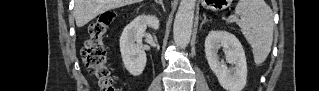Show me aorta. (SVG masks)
<instances>
[{
    "mask_svg": "<svg viewBox=\"0 0 319 91\" xmlns=\"http://www.w3.org/2000/svg\"><path fill=\"white\" fill-rule=\"evenodd\" d=\"M196 0H181L173 25L175 45L185 48L191 38Z\"/></svg>",
    "mask_w": 319,
    "mask_h": 91,
    "instance_id": "aorta-1",
    "label": "aorta"
}]
</instances>
